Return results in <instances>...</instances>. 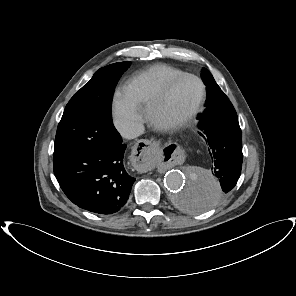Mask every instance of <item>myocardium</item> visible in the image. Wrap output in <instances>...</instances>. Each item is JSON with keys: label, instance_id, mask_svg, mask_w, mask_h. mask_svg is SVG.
I'll list each match as a JSON object with an SVG mask.
<instances>
[{"label": "myocardium", "instance_id": "myocardium-1", "mask_svg": "<svg viewBox=\"0 0 296 296\" xmlns=\"http://www.w3.org/2000/svg\"><path fill=\"white\" fill-rule=\"evenodd\" d=\"M193 79L195 80L200 88L199 97L195 103V105L191 108V110L186 113L184 116L177 119H164L161 116V110L164 107L169 95L171 94L174 87L184 79ZM206 98V87L201 78L194 74L184 73L175 78H173L159 93V95L155 98V100L148 107V116L154 127L162 131H175L182 129L189 124H191L195 118L198 116Z\"/></svg>", "mask_w": 296, "mask_h": 296}]
</instances>
